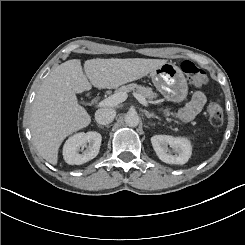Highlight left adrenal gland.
<instances>
[{"label": "left adrenal gland", "instance_id": "1", "mask_svg": "<svg viewBox=\"0 0 245 245\" xmlns=\"http://www.w3.org/2000/svg\"><path fill=\"white\" fill-rule=\"evenodd\" d=\"M144 113L146 115L147 118H156L158 120H161L160 117L156 116L154 113H149L148 111L144 110Z\"/></svg>", "mask_w": 245, "mask_h": 245}]
</instances>
